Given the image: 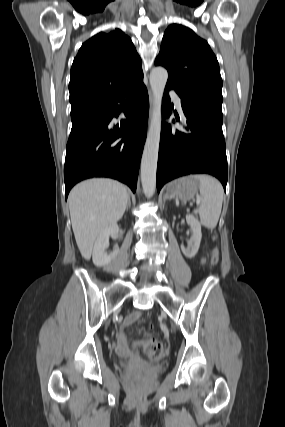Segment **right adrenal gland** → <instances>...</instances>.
Instances as JSON below:
<instances>
[{
    "instance_id": "right-adrenal-gland-1",
    "label": "right adrenal gland",
    "mask_w": 285,
    "mask_h": 427,
    "mask_svg": "<svg viewBox=\"0 0 285 427\" xmlns=\"http://www.w3.org/2000/svg\"><path fill=\"white\" fill-rule=\"evenodd\" d=\"M130 206H131V200H130V197H129V198H128L127 209H128V208H130Z\"/></svg>"
}]
</instances>
